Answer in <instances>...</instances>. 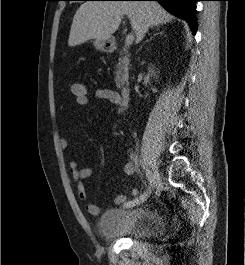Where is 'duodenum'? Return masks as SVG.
I'll use <instances>...</instances> for the list:
<instances>
[{
	"mask_svg": "<svg viewBox=\"0 0 245 265\" xmlns=\"http://www.w3.org/2000/svg\"><path fill=\"white\" fill-rule=\"evenodd\" d=\"M116 49V47L114 45H110L108 47V50L110 52H114ZM120 93H121V97H122V102L124 105H128L130 103V97H131V93H130V89L127 86H122L120 89Z\"/></svg>",
	"mask_w": 245,
	"mask_h": 265,
	"instance_id": "obj_1",
	"label": "duodenum"
}]
</instances>
